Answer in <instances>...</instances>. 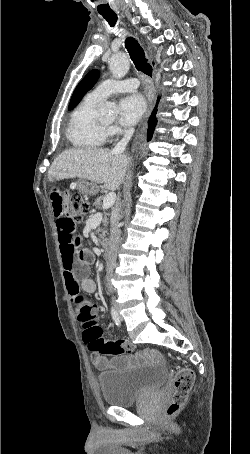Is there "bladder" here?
<instances>
[{"instance_id":"obj_1","label":"bladder","mask_w":250,"mask_h":454,"mask_svg":"<svg viewBox=\"0 0 250 454\" xmlns=\"http://www.w3.org/2000/svg\"><path fill=\"white\" fill-rule=\"evenodd\" d=\"M165 377L166 371L162 365L148 364L102 373L98 384L106 404L128 407L159 390Z\"/></svg>"}]
</instances>
